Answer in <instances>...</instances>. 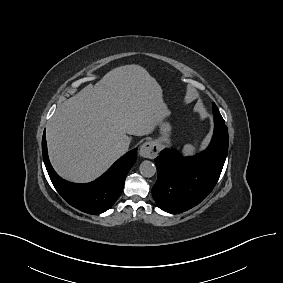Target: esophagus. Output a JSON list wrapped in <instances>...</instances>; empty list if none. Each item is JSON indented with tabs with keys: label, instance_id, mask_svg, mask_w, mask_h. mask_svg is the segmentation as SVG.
Masks as SVG:
<instances>
[{
	"label": "esophagus",
	"instance_id": "obj_1",
	"mask_svg": "<svg viewBox=\"0 0 283 283\" xmlns=\"http://www.w3.org/2000/svg\"><path fill=\"white\" fill-rule=\"evenodd\" d=\"M139 153L143 158L153 159L158 155V146L153 141L145 142L140 147Z\"/></svg>",
	"mask_w": 283,
	"mask_h": 283
}]
</instances>
